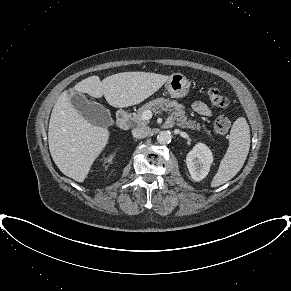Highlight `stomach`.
Listing matches in <instances>:
<instances>
[{"instance_id":"obj_1","label":"stomach","mask_w":291,"mask_h":291,"mask_svg":"<svg viewBox=\"0 0 291 291\" xmlns=\"http://www.w3.org/2000/svg\"><path fill=\"white\" fill-rule=\"evenodd\" d=\"M165 87L172 98H183L189 93L190 82L181 73L169 76Z\"/></svg>"}]
</instances>
